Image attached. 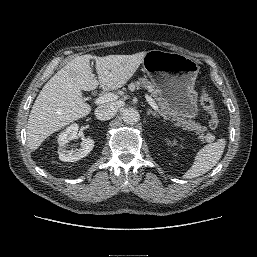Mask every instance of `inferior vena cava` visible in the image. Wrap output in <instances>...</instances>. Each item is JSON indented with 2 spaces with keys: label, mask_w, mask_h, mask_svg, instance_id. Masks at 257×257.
Segmentation results:
<instances>
[{
  "label": "inferior vena cava",
  "mask_w": 257,
  "mask_h": 257,
  "mask_svg": "<svg viewBox=\"0 0 257 257\" xmlns=\"http://www.w3.org/2000/svg\"><path fill=\"white\" fill-rule=\"evenodd\" d=\"M118 109H119V105L116 103L101 105L96 108L95 116L98 120H101V121L110 120L115 116Z\"/></svg>",
  "instance_id": "inferior-vena-cava-1"
}]
</instances>
